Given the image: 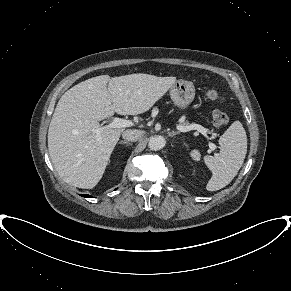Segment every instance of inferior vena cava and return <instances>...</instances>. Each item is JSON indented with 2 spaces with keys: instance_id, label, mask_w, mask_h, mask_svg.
Wrapping results in <instances>:
<instances>
[{
  "instance_id": "obj_1",
  "label": "inferior vena cava",
  "mask_w": 291,
  "mask_h": 291,
  "mask_svg": "<svg viewBox=\"0 0 291 291\" xmlns=\"http://www.w3.org/2000/svg\"><path fill=\"white\" fill-rule=\"evenodd\" d=\"M144 135V132L141 130H136V129H128L123 132L122 137L131 142H135L139 139H142Z\"/></svg>"
}]
</instances>
